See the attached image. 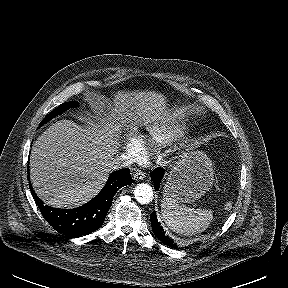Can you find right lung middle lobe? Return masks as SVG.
<instances>
[{
    "instance_id": "obj_1",
    "label": "right lung middle lobe",
    "mask_w": 288,
    "mask_h": 288,
    "mask_svg": "<svg viewBox=\"0 0 288 288\" xmlns=\"http://www.w3.org/2000/svg\"><path fill=\"white\" fill-rule=\"evenodd\" d=\"M77 106H78V103H76V102H67V103L61 104L55 110L51 111L50 114L45 117V119L42 120L41 125L46 123V121L50 120L54 116L61 114L62 112H64L68 108H74V107H77Z\"/></svg>"
}]
</instances>
